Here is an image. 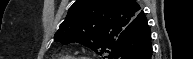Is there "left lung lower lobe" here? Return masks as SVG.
Listing matches in <instances>:
<instances>
[{
    "mask_svg": "<svg viewBox=\"0 0 193 59\" xmlns=\"http://www.w3.org/2000/svg\"><path fill=\"white\" fill-rule=\"evenodd\" d=\"M109 59H152L151 32L145 14L112 47Z\"/></svg>",
    "mask_w": 193,
    "mask_h": 59,
    "instance_id": "left-lung-lower-lobe-1",
    "label": "left lung lower lobe"
}]
</instances>
